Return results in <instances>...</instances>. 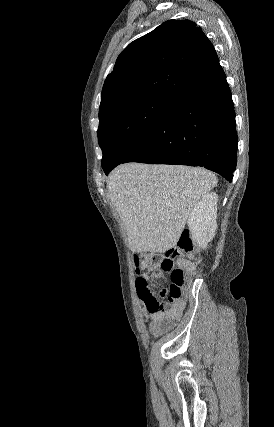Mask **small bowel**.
<instances>
[{
    "instance_id": "1",
    "label": "small bowel",
    "mask_w": 274,
    "mask_h": 427,
    "mask_svg": "<svg viewBox=\"0 0 274 427\" xmlns=\"http://www.w3.org/2000/svg\"><path fill=\"white\" fill-rule=\"evenodd\" d=\"M192 259V253L186 254L185 257H180L176 259V265L194 274L196 271V266L191 262ZM142 275L144 276V280L149 282L151 276L150 272H144ZM148 289L154 295V287L152 285H149V283ZM183 309V302L175 301L169 308L152 314L150 322L151 333L154 336H160L166 331H168L173 326L174 322L181 317Z\"/></svg>"
}]
</instances>
